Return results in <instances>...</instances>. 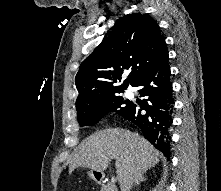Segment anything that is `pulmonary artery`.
Returning <instances> with one entry per match:
<instances>
[{
	"instance_id": "pulmonary-artery-1",
	"label": "pulmonary artery",
	"mask_w": 221,
	"mask_h": 191,
	"mask_svg": "<svg viewBox=\"0 0 221 191\" xmlns=\"http://www.w3.org/2000/svg\"><path fill=\"white\" fill-rule=\"evenodd\" d=\"M126 95H127V97L131 98V97H133V92L132 91H128Z\"/></svg>"
}]
</instances>
